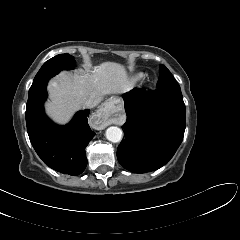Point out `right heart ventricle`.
I'll use <instances>...</instances> for the list:
<instances>
[{
    "label": "right heart ventricle",
    "instance_id": "obj_1",
    "mask_svg": "<svg viewBox=\"0 0 240 240\" xmlns=\"http://www.w3.org/2000/svg\"><path fill=\"white\" fill-rule=\"evenodd\" d=\"M141 76H142V74H137V75L134 77V79L137 80V79H139Z\"/></svg>",
    "mask_w": 240,
    "mask_h": 240
}]
</instances>
